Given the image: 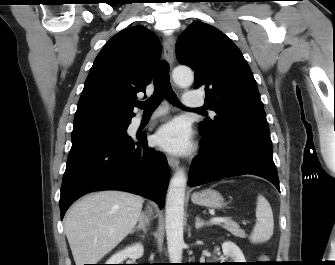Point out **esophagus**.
<instances>
[{
	"label": "esophagus",
	"mask_w": 335,
	"mask_h": 265,
	"mask_svg": "<svg viewBox=\"0 0 335 265\" xmlns=\"http://www.w3.org/2000/svg\"><path fill=\"white\" fill-rule=\"evenodd\" d=\"M175 39L172 35H165L163 38V51L165 60L172 65L174 61ZM167 161L172 169H176L179 165V160L172 156H167Z\"/></svg>",
	"instance_id": "34e87169"
}]
</instances>
